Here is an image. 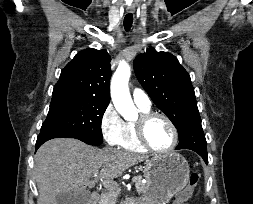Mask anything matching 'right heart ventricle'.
I'll use <instances>...</instances> for the list:
<instances>
[{
	"label": "right heart ventricle",
	"mask_w": 253,
	"mask_h": 204,
	"mask_svg": "<svg viewBox=\"0 0 253 204\" xmlns=\"http://www.w3.org/2000/svg\"><path fill=\"white\" fill-rule=\"evenodd\" d=\"M139 109L142 112V114L149 112V109H142V108ZM120 146L122 147V149L126 151L137 154H143L147 151L141 146V144L138 141L134 122H126L125 134L120 143Z\"/></svg>",
	"instance_id": "obj_1"
}]
</instances>
